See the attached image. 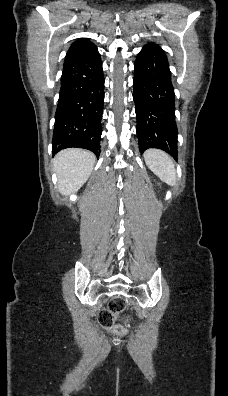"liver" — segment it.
I'll return each instance as SVG.
<instances>
[{"label":"liver","mask_w":228,"mask_h":396,"mask_svg":"<svg viewBox=\"0 0 228 396\" xmlns=\"http://www.w3.org/2000/svg\"><path fill=\"white\" fill-rule=\"evenodd\" d=\"M96 157L87 150L69 148L60 151L54 158V171L58 177V191L71 195L88 180Z\"/></svg>","instance_id":"liver-1"}]
</instances>
